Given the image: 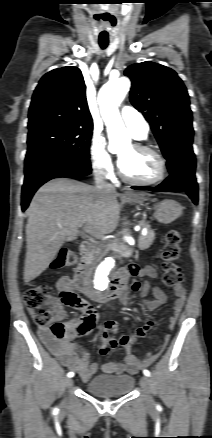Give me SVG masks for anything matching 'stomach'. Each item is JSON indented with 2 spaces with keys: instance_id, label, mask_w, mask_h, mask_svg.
I'll use <instances>...</instances> for the list:
<instances>
[{
  "instance_id": "stomach-1",
  "label": "stomach",
  "mask_w": 212,
  "mask_h": 438,
  "mask_svg": "<svg viewBox=\"0 0 212 438\" xmlns=\"http://www.w3.org/2000/svg\"><path fill=\"white\" fill-rule=\"evenodd\" d=\"M148 199L142 195H134L129 198V201L143 204ZM155 202L154 205V217L158 222L163 224H169L176 220L182 213L181 205L174 200H163L157 202L156 199L152 200Z\"/></svg>"
}]
</instances>
